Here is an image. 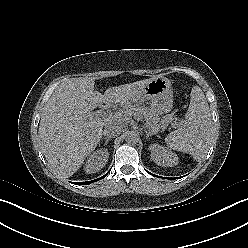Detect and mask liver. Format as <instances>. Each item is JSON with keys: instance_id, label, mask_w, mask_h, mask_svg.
Here are the masks:
<instances>
[{"instance_id": "6515ba94", "label": "liver", "mask_w": 248, "mask_h": 248, "mask_svg": "<svg viewBox=\"0 0 248 248\" xmlns=\"http://www.w3.org/2000/svg\"><path fill=\"white\" fill-rule=\"evenodd\" d=\"M150 79L94 91L93 78H74L62 83L43 108L39 123L42 152L51 167L68 178L96 148L102 129L115 120L104 121L90 111L104 102L127 106Z\"/></svg>"}]
</instances>
